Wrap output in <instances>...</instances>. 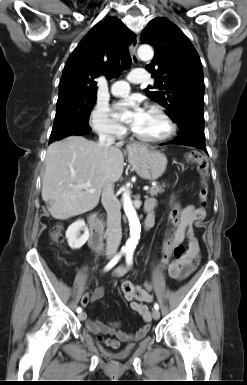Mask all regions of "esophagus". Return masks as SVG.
Instances as JSON below:
<instances>
[{
  "mask_svg": "<svg viewBox=\"0 0 247 385\" xmlns=\"http://www.w3.org/2000/svg\"><path fill=\"white\" fill-rule=\"evenodd\" d=\"M139 44V37L137 36L134 41L132 42L130 46V51H131V56H132V61L136 64L139 62L138 56H137V48Z\"/></svg>",
  "mask_w": 247,
  "mask_h": 385,
  "instance_id": "esophagus-1",
  "label": "esophagus"
}]
</instances>
